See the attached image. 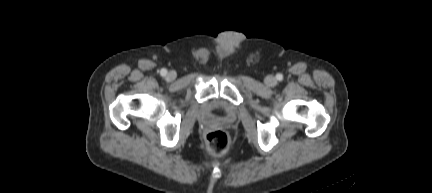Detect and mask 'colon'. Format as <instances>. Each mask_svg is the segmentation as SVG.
I'll use <instances>...</instances> for the list:
<instances>
[{"mask_svg":"<svg viewBox=\"0 0 432 193\" xmlns=\"http://www.w3.org/2000/svg\"><path fill=\"white\" fill-rule=\"evenodd\" d=\"M206 145L212 155L220 156L225 154L229 149L230 137L223 130H215L207 135Z\"/></svg>","mask_w":432,"mask_h":193,"instance_id":"colon-1","label":"colon"}]
</instances>
